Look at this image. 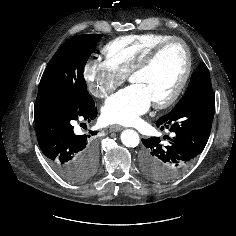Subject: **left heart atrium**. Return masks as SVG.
<instances>
[{
    "instance_id": "left-heart-atrium-1",
    "label": "left heart atrium",
    "mask_w": 236,
    "mask_h": 236,
    "mask_svg": "<svg viewBox=\"0 0 236 236\" xmlns=\"http://www.w3.org/2000/svg\"><path fill=\"white\" fill-rule=\"evenodd\" d=\"M146 89L132 84L109 97L102 109V118L109 124L132 125L151 106Z\"/></svg>"
}]
</instances>
